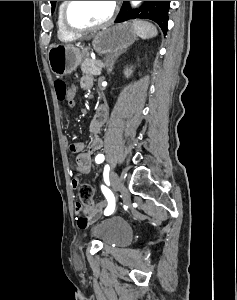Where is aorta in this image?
<instances>
[{"instance_id":"obj_1","label":"aorta","mask_w":237,"mask_h":300,"mask_svg":"<svg viewBox=\"0 0 237 300\" xmlns=\"http://www.w3.org/2000/svg\"><path fill=\"white\" fill-rule=\"evenodd\" d=\"M140 3H142V1H131L132 7H138V5H140Z\"/></svg>"}]
</instances>
